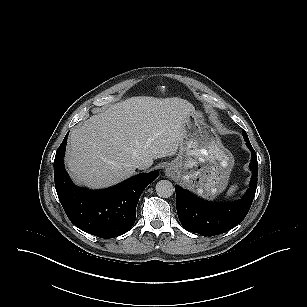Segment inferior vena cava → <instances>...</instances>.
I'll use <instances>...</instances> for the list:
<instances>
[{
  "mask_svg": "<svg viewBox=\"0 0 307 307\" xmlns=\"http://www.w3.org/2000/svg\"><path fill=\"white\" fill-rule=\"evenodd\" d=\"M134 166L138 169H147L149 167V165L144 161H136Z\"/></svg>",
  "mask_w": 307,
  "mask_h": 307,
  "instance_id": "obj_1",
  "label": "inferior vena cava"
}]
</instances>
